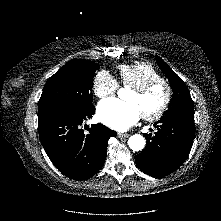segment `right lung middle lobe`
<instances>
[{
    "instance_id": "right-lung-middle-lobe-1",
    "label": "right lung middle lobe",
    "mask_w": 221,
    "mask_h": 221,
    "mask_svg": "<svg viewBox=\"0 0 221 221\" xmlns=\"http://www.w3.org/2000/svg\"><path fill=\"white\" fill-rule=\"evenodd\" d=\"M99 65L85 59L67 62L44 86L38 116L63 108L84 109L92 105L93 77Z\"/></svg>"
}]
</instances>
